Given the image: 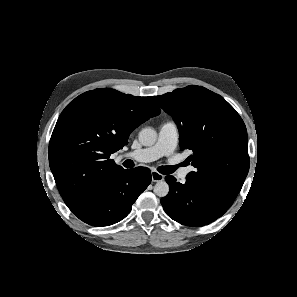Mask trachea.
<instances>
[{
	"mask_svg": "<svg viewBox=\"0 0 297 297\" xmlns=\"http://www.w3.org/2000/svg\"><path fill=\"white\" fill-rule=\"evenodd\" d=\"M125 164H126V162H125ZM177 167L178 166H160L158 168V171L162 174H171L177 169Z\"/></svg>",
	"mask_w": 297,
	"mask_h": 297,
	"instance_id": "3493384b",
	"label": "trachea"
}]
</instances>
